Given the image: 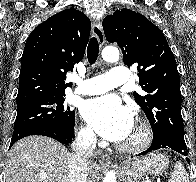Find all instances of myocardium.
<instances>
[{
  "label": "myocardium",
  "mask_w": 196,
  "mask_h": 182,
  "mask_svg": "<svg viewBox=\"0 0 196 182\" xmlns=\"http://www.w3.org/2000/svg\"><path fill=\"white\" fill-rule=\"evenodd\" d=\"M136 125L139 130L138 139L131 144L118 145L120 151L125 153H137L147 148L151 143L153 132L149 123L144 119L138 118Z\"/></svg>",
  "instance_id": "obj_1"
}]
</instances>
